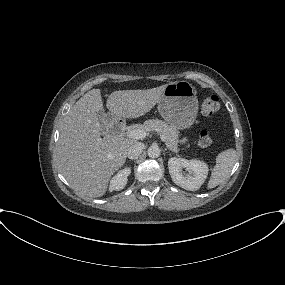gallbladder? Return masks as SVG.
I'll list each match as a JSON object with an SVG mask.
<instances>
[{"instance_id":"obj_1","label":"gallbladder","mask_w":285,"mask_h":285,"mask_svg":"<svg viewBox=\"0 0 285 285\" xmlns=\"http://www.w3.org/2000/svg\"><path fill=\"white\" fill-rule=\"evenodd\" d=\"M97 117L102 125L103 131H106L109 126V122L111 121V118L104 112V110H99L97 112Z\"/></svg>"}]
</instances>
